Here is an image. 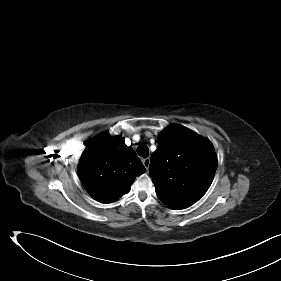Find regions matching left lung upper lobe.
I'll list each match as a JSON object with an SVG mask.
<instances>
[{
	"label": "left lung upper lobe",
	"instance_id": "obj_1",
	"mask_svg": "<svg viewBox=\"0 0 281 281\" xmlns=\"http://www.w3.org/2000/svg\"><path fill=\"white\" fill-rule=\"evenodd\" d=\"M217 164L208 139L172 124L159 134L158 149L151 157L150 176L157 196L167 207L185 209L206 193Z\"/></svg>",
	"mask_w": 281,
	"mask_h": 281
}]
</instances>
